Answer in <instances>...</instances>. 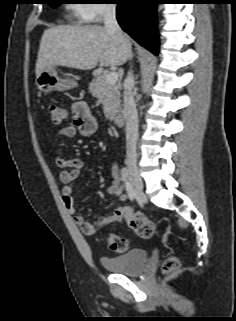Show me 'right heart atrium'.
<instances>
[{"instance_id": "obj_1", "label": "right heart atrium", "mask_w": 236, "mask_h": 321, "mask_svg": "<svg viewBox=\"0 0 236 321\" xmlns=\"http://www.w3.org/2000/svg\"><path fill=\"white\" fill-rule=\"evenodd\" d=\"M90 2L84 9V19L90 22H100L116 8L113 0H91Z\"/></svg>"}]
</instances>
